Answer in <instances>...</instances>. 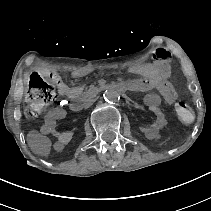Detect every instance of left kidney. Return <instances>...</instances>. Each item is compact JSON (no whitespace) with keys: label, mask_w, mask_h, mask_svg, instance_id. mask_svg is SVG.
<instances>
[{"label":"left kidney","mask_w":211,"mask_h":211,"mask_svg":"<svg viewBox=\"0 0 211 211\" xmlns=\"http://www.w3.org/2000/svg\"><path fill=\"white\" fill-rule=\"evenodd\" d=\"M153 124L145 130V135L149 139L158 140L161 133L165 130L163 111L159 107H154L151 110Z\"/></svg>","instance_id":"obj_1"}]
</instances>
